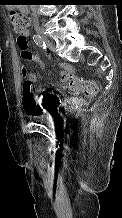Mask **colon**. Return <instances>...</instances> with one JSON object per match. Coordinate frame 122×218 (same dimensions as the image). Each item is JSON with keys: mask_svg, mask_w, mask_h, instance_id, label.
Listing matches in <instances>:
<instances>
[{"mask_svg": "<svg viewBox=\"0 0 122 218\" xmlns=\"http://www.w3.org/2000/svg\"><path fill=\"white\" fill-rule=\"evenodd\" d=\"M10 20L14 26V29L18 33H23L27 30L30 24V18L24 13L18 11L10 12ZM17 45L21 50V57L23 60H29L31 58V53L26 48V42L23 38L17 39ZM22 89L25 100V108L29 113H35L36 102L34 98V85L30 79V74L26 68L22 69ZM66 89L73 93L78 94L80 92L86 95H94L97 91V87L93 82L83 81L77 77L70 76L63 79Z\"/></svg>", "mask_w": 122, "mask_h": 218, "instance_id": "1", "label": "colon"}]
</instances>
